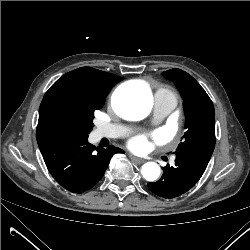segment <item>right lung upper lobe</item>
Listing matches in <instances>:
<instances>
[{"instance_id":"right-lung-upper-lobe-1","label":"right lung upper lobe","mask_w":250,"mask_h":250,"mask_svg":"<svg viewBox=\"0 0 250 250\" xmlns=\"http://www.w3.org/2000/svg\"><path fill=\"white\" fill-rule=\"evenodd\" d=\"M122 78L91 67L70 71L46 92L37 126L38 145L49 140L77 134L79 129L75 105L108 94Z\"/></svg>"}]
</instances>
